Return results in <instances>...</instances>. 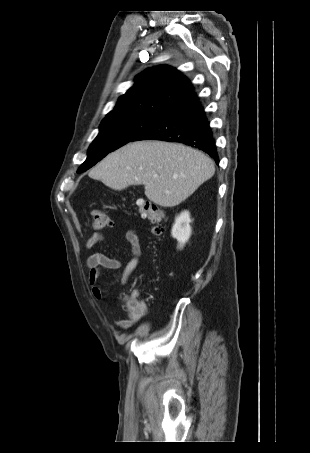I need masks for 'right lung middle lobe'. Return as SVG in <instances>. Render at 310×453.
Listing matches in <instances>:
<instances>
[{
  "mask_svg": "<svg viewBox=\"0 0 310 453\" xmlns=\"http://www.w3.org/2000/svg\"><path fill=\"white\" fill-rule=\"evenodd\" d=\"M158 116L125 114L105 117L100 125L99 134L88 149L85 162L78 169V173L84 172L100 161L108 153L135 141L137 137Z\"/></svg>",
  "mask_w": 310,
  "mask_h": 453,
  "instance_id": "obj_1",
  "label": "right lung middle lobe"
}]
</instances>
